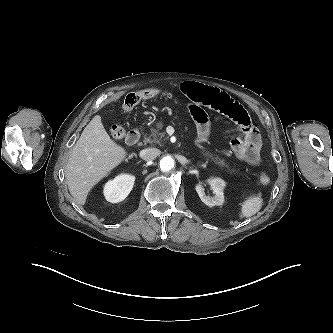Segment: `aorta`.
Instances as JSON below:
<instances>
[{"instance_id": "obj_1", "label": "aorta", "mask_w": 333, "mask_h": 333, "mask_svg": "<svg viewBox=\"0 0 333 333\" xmlns=\"http://www.w3.org/2000/svg\"><path fill=\"white\" fill-rule=\"evenodd\" d=\"M174 166H175V161L171 156L167 155L161 158L160 160L161 171L169 172L174 168Z\"/></svg>"}]
</instances>
